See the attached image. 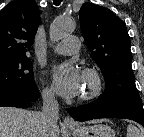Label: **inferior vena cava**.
<instances>
[{
    "label": "inferior vena cava",
    "mask_w": 144,
    "mask_h": 137,
    "mask_svg": "<svg viewBox=\"0 0 144 137\" xmlns=\"http://www.w3.org/2000/svg\"><path fill=\"white\" fill-rule=\"evenodd\" d=\"M43 110L40 114L43 135L53 137V131L57 128L59 117V104L53 92L43 93Z\"/></svg>",
    "instance_id": "1"
}]
</instances>
